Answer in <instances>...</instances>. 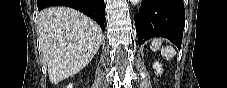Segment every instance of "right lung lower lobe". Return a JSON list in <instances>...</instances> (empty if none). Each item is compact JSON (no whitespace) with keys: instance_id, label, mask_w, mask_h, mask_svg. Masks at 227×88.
Here are the masks:
<instances>
[{"instance_id":"obj_1","label":"right lung lower lobe","mask_w":227,"mask_h":88,"mask_svg":"<svg viewBox=\"0 0 227 88\" xmlns=\"http://www.w3.org/2000/svg\"><path fill=\"white\" fill-rule=\"evenodd\" d=\"M54 5L68 6L83 12L95 20L104 31V0H38L39 10Z\"/></svg>"}]
</instances>
